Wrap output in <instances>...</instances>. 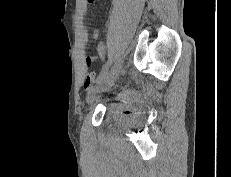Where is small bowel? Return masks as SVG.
<instances>
[{
    "mask_svg": "<svg viewBox=\"0 0 231 177\" xmlns=\"http://www.w3.org/2000/svg\"><path fill=\"white\" fill-rule=\"evenodd\" d=\"M97 34H98L97 31L94 30V31H93V35H94V36H97ZM98 55H99L100 57H104V56L106 55V49H105V47H104L102 44H100V45L98 46ZM95 58H96L95 56H94V57H87V58L85 59V64H86V66H90L91 63H92V61H93ZM94 83H95V77H94V75H93L92 73L87 74L86 77H85V79H84V87H85L86 89H90V88L93 86Z\"/></svg>",
    "mask_w": 231,
    "mask_h": 177,
    "instance_id": "obj_1",
    "label": "small bowel"
}]
</instances>
